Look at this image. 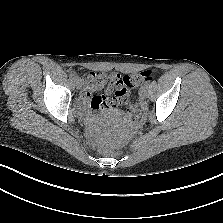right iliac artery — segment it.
Segmentation results:
<instances>
[{
    "instance_id": "right-iliac-artery-1",
    "label": "right iliac artery",
    "mask_w": 223,
    "mask_h": 223,
    "mask_svg": "<svg viewBox=\"0 0 223 223\" xmlns=\"http://www.w3.org/2000/svg\"><path fill=\"white\" fill-rule=\"evenodd\" d=\"M70 77L73 78V79H76L77 78V76L75 75V73H72V72L70 73Z\"/></svg>"
}]
</instances>
